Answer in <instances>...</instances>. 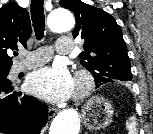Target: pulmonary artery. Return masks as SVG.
<instances>
[{
    "label": "pulmonary artery",
    "mask_w": 153,
    "mask_h": 134,
    "mask_svg": "<svg viewBox=\"0 0 153 134\" xmlns=\"http://www.w3.org/2000/svg\"><path fill=\"white\" fill-rule=\"evenodd\" d=\"M73 43L69 37H60L55 43V50L59 54H69L72 51ZM25 59L17 62L13 67L14 73H19L43 65L50 60L52 49L41 47L32 52L24 53Z\"/></svg>",
    "instance_id": "obj_1"
}]
</instances>
